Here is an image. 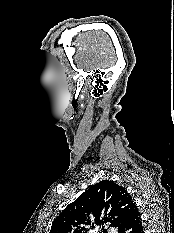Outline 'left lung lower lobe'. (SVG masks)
Segmentation results:
<instances>
[{"mask_svg": "<svg viewBox=\"0 0 174 233\" xmlns=\"http://www.w3.org/2000/svg\"><path fill=\"white\" fill-rule=\"evenodd\" d=\"M119 233H144L139 212L118 228Z\"/></svg>", "mask_w": 174, "mask_h": 233, "instance_id": "left-lung-lower-lobe-1", "label": "left lung lower lobe"}]
</instances>
